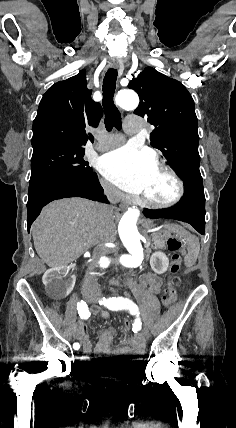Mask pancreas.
<instances>
[{
  "label": "pancreas",
  "instance_id": "obj_1",
  "mask_svg": "<svg viewBox=\"0 0 236 428\" xmlns=\"http://www.w3.org/2000/svg\"><path fill=\"white\" fill-rule=\"evenodd\" d=\"M152 240H153V242H160V246H152V248H154V250H156V248H164L165 242H166V240H164V238H158V236H152Z\"/></svg>",
  "mask_w": 236,
  "mask_h": 428
}]
</instances>
